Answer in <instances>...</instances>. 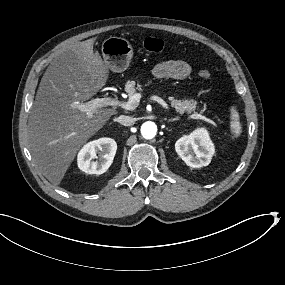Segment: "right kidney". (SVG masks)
I'll return each instance as SVG.
<instances>
[{
  "instance_id": "obj_1",
  "label": "right kidney",
  "mask_w": 285,
  "mask_h": 285,
  "mask_svg": "<svg viewBox=\"0 0 285 285\" xmlns=\"http://www.w3.org/2000/svg\"><path fill=\"white\" fill-rule=\"evenodd\" d=\"M117 150V143L112 138L103 137L85 144L77 156L80 170L88 174H103L113 162ZM99 152V160L97 158Z\"/></svg>"
}]
</instances>
